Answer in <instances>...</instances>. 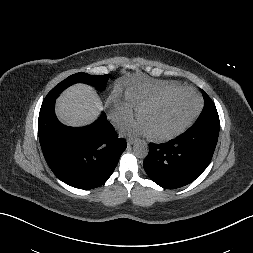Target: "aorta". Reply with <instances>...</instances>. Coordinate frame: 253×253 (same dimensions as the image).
Returning a JSON list of instances; mask_svg holds the SVG:
<instances>
[{"label": "aorta", "mask_w": 253, "mask_h": 253, "mask_svg": "<svg viewBox=\"0 0 253 253\" xmlns=\"http://www.w3.org/2000/svg\"><path fill=\"white\" fill-rule=\"evenodd\" d=\"M134 155L138 158H145L148 155L149 148L145 141H137L133 146Z\"/></svg>", "instance_id": "aorta-1"}]
</instances>
